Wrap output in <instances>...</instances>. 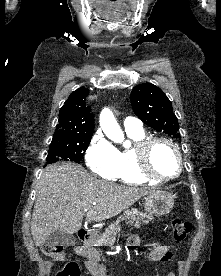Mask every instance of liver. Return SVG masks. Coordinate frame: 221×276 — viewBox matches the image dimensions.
Wrapping results in <instances>:
<instances>
[{
    "label": "liver",
    "instance_id": "obj_1",
    "mask_svg": "<svg viewBox=\"0 0 221 276\" xmlns=\"http://www.w3.org/2000/svg\"><path fill=\"white\" fill-rule=\"evenodd\" d=\"M153 191L96 179L74 163L49 165L40 177L33 209L31 234L35 245L43 246L56 230L78 232L85 209L88 222L104 221Z\"/></svg>",
    "mask_w": 221,
    "mask_h": 276
}]
</instances>
